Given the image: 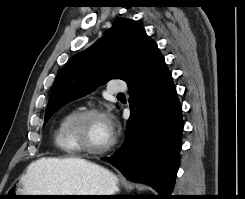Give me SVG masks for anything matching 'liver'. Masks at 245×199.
I'll return each mask as SVG.
<instances>
[{
  "instance_id": "1",
  "label": "liver",
  "mask_w": 245,
  "mask_h": 199,
  "mask_svg": "<svg viewBox=\"0 0 245 199\" xmlns=\"http://www.w3.org/2000/svg\"><path fill=\"white\" fill-rule=\"evenodd\" d=\"M89 163L91 162L77 157L41 158L29 165L22 179L26 187L36 190L45 175L61 173L71 166L87 165Z\"/></svg>"
}]
</instances>
